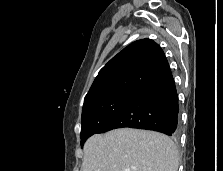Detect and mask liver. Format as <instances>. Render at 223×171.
<instances>
[{
    "instance_id": "6515ba94",
    "label": "liver",
    "mask_w": 223,
    "mask_h": 171,
    "mask_svg": "<svg viewBox=\"0 0 223 171\" xmlns=\"http://www.w3.org/2000/svg\"><path fill=\"white\" fill-rule=\"evenodd\" d=\"M174 142L159 132L119 128L84 144L81 171H177Z\"/></svg>"
}]
</instances>
